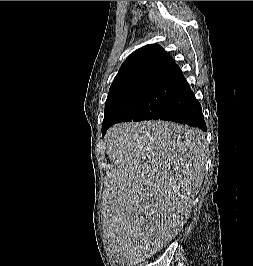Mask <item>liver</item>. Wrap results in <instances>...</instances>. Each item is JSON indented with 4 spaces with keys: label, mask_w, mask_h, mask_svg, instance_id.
I'll list each match as a JSON object with an SVG mask.
<instances>
[{
    "label": "liver",
    "mask_w": 253,
    "mask_h": 266,
    "mask_svg": "<svg viewBox=\"0 0 253 266\" xmlns=\"http://www.w3.org/2000/svg\"><path fill=\"white\" fill-rule=\"evenodd\" d=\"M105 142L114 162L106 238L113 255L137 264L186 223L204 178L206 137L167 121L124 122L107 131Z\"/></svg>",
    "instance_id": "1"
}]
</instances>
